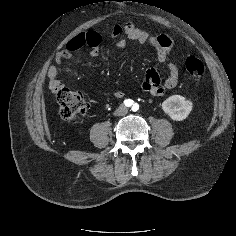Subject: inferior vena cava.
Returning <instances> with one entry per match:
<instances>
[{"label":"inferior vena cava","instance_id":"602c4592","mask_svg":"<svg viewBox=\"0 0 236 236\" xmlns=\"http://www.w3.org/2000/svg\"><path fill=\"white\" fill-rule=\"evenodd\" d=\"M127 112H128L127 107H125V106L122 105V106H120L119 109L115 112V115L122 116V115L127 114Z\"/></svg>","mask_w":236,"mask_h":236}]
</instances>
